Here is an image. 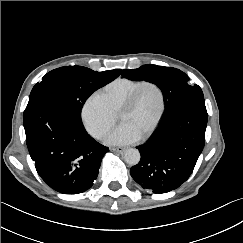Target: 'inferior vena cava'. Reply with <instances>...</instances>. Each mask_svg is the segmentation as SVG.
<instances>
[{"mask_svg":"<svg viewBox=\"0 0 243 243\" xmlns=\"http://www.w3.org/2000/svg\"><path fill=\"white\" fill-rule=\"evenodd\" d=\"M101 134H102L101 131H97V132H96V136H99V135H101Z\"/></svg>","mask_w":243,"mask_h":243,"instance_id":"obj_1","label":"inferior vena cava"}]
</instances>
